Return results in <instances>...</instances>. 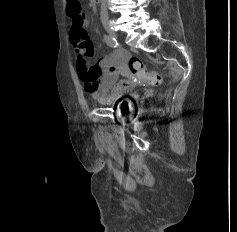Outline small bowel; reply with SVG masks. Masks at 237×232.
Wrapping results in <instances>:
<instances>
[{"label": "small bowel", "instance_id": "obj_1", "mask_svg": "<svg viewBox=\"0 0 237 232\" xmlns=\"http://www.w3.org/2000/svg\"><path fill=\"white\" fill-rule=\"evenodd\" d=\"M83 24L79 28L72 21L70 42L76 55V69L83 87L94 100L110 104L129 93L135 86L132 79L118 80L119 76H128L127 55L122 52L110 53L99 60L97 65L91 63L95 46L84 29L86 18L82 14Z\"/></svg>", "mask_w": 237, "mask_h": 232}]
</instances>
